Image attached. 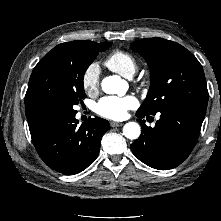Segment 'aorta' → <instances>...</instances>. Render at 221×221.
Instances as JSON below:
<instances>
[{
    "label": "aorta",
    "instance_id": "obj_1",
    "mask_svg": "<svg viewBox=\"0 0 221 221\" xmlns=\"http://www.w3.org/2000/svg\"><path fill=\"white\" fill-rule=\"evenodd\" d=\"M101 87L107 94L124 95L127 91V83L117 75L105 77L102 80ZM123 134L126 138L134 140L139 138L141 128L136 122H128L123 127Z\"/></svg>",
    "mask_w": 221,
    "mask_h": 221
}]
</instances>
